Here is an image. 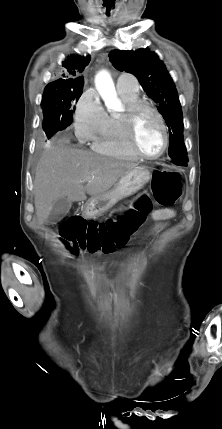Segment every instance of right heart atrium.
<instances>
[{
    "label": "right heart atrium",
    "mask_w": 222,
    "mask_h": 429,
    "mask_svg": "<svg viewBox=\"0 0 222 429\" xmlns=\"http://www.w3.org/2000/svg\"><path fill=\"white\" fill-rule=\"evenodd\" d=\"M107 114L92 90L85 91L76 103L74 127L81 142L93 141L102 131Z\"/></svg>",
    "instance_id": "1"
}]
</instances>
